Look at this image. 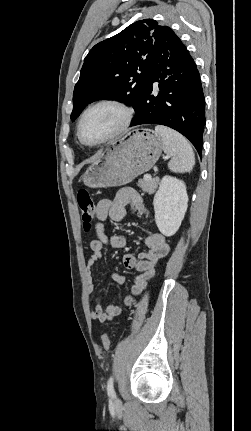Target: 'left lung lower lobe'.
I'll list each match as a JSON object with an SVG mask.
<instances>
[{"label":"left lung lower lobe","instance_id":"0a47b994","mask_svg":"<svg viewBox=\"0 0 251 431\" xmlns=\"http://www.w3.org/2000/svg\"><path fill=\"white\" fill-rule=\"evenodd\" d=\"M154 83L158 93L154 92ZM205 123V98L197 66L174 33L153 56L131 126L160 124L173 128L201 155Z\"/></svg>","mask_w":251,"mask_h":431}]
</instances>
